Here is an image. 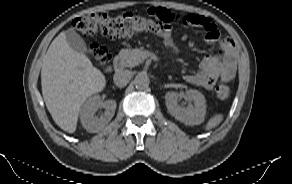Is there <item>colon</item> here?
<instances>
[{"instance_id": "1", "label": "colon", "mask_w": 292, "mask_h": 184, "mask_svg": "<svg viewBox=\"0 0 292 184\" xmlns=\"http://www.w3.org/2000/svg\"><path fill=\"white\" fill-rule=\"evenodd\" d=\"M175 15L162 8H152L148 15L137 12H126L111 16L104 13L82 15L73 20L74 27L85 36L101 34L110 38H121L137 33L162 34L170 28ZM91 53L102 65L110 61V54L105 47L92 45ZM218 98L224 100L230 96V87L219 83L215 89Z\"/></svg>"}]
</instances>
